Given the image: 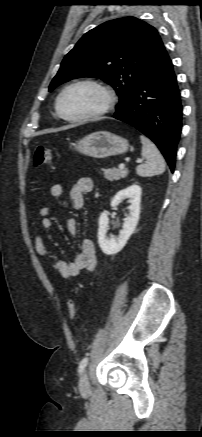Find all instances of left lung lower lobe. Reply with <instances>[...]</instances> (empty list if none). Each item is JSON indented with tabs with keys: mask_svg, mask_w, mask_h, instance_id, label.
<instances>
[{
	"mask_svg": "<svg viewBox=\"0 0 202 437\" xmlns=\"http://www.w3.org/2000/svg\"><path fill=\"white\" fill-rule=\"evenodd\" d=\"M114 118L149 137L160 149L171 171L182 129V105L173 64L168 54L161 65L116 109Z\"/></svg>",
	"mask_w": 202,
	"mask_h": 437,
	"instance_id": "1",
	"label": "left lung lower lobe"
}]
</instances>
